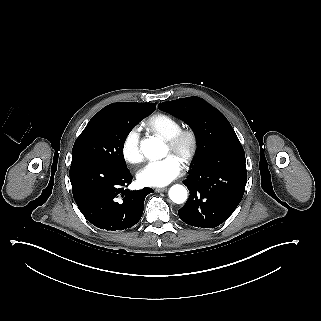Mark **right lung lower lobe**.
<instances>
[{"label": "right lung lower lobe", "instance_id": "98d812e1", "mask_svg": "<svg viewBox=\"0 0 321 321\" xmlns=\"http://www.w3.org/2000/svg\"><path fill=\"white\" fill-rule=\"evenodd\" d=\"M132 178L127 168L98 162L76 161L70 167L73 197L79 210L94 226L110 231L138 223L145 197L153 192L151 188L124 189Z\"/></svg>", "mask_w": 321, "mask_h": 321}]
</instances>
